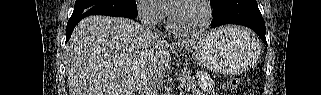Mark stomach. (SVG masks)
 I'll return each instance as SVG.
<instances>
[{
	"mask_svg": "<svg viewBox=\"0 0 321 95\" xmlns=\"http://www.w3.org/2000/svg\"><path fill=\"white\" fill-rule=\"evenodd\" d=\"M260 50V42L253 33L228 26L206 35L190 51L209 70L234 75L253 65Z\"/></svg>",
	"mask_w": 321,
	"mask_h": 95,
	"instance_id": "obj_1",
	"label": "stomach"
}]
</instances>
